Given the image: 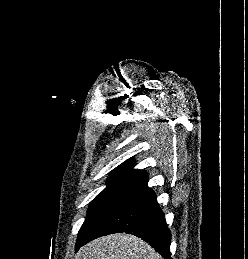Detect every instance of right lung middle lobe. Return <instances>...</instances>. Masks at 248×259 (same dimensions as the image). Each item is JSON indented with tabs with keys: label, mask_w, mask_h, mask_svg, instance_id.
Instances as JSON below:
<instances>
[{
	"label": "right lung middle lobe",
	"mask_w": 248,
	"mask_h": 259,
	"mask_svg": "<svg viewBox=\"0 0 248 259\" xmlns=\"http://www.w3.org/2000/svg\"><path fill=\"white\" fill-rule=\"evenodd\" d=\"M131 185L112 183L109 184L91 202L88 215L79 230L77 242L88 235L99 223L108 210L131 188Z\"/></svg>",
	"instance_id": "obj_1"
}]
</instances>
